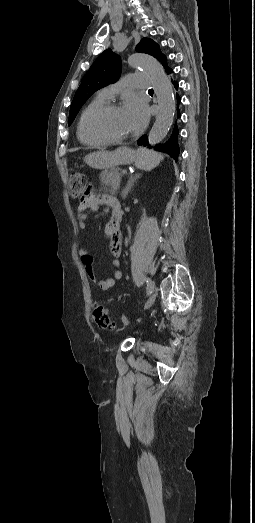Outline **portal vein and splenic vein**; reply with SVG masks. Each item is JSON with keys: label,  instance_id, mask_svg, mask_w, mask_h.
<instances>
[{"label": "portal vein and splenic vein", "instance_id": "18ae733b", "mask_svg": "<svg viewBox=\"0 0 255 523\" xmlns=\"http://www.w3.org/2000/svg\"><path fill=\"white\" fill-rule=\"evenodd\" d=\"M121 174H122L123 176H126L127 174H129V171H127L126 169H123V170L121 171Z\"/></svg>", "mask_w": 255, "mask_h": 523}]
</instances>
